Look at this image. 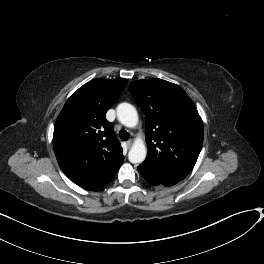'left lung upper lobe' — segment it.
I'll use <instances>...</instances> for the list:
<instances>
[{"mask_svg": "<svg viewBox=\"0 0 264 264\" xmlns=\"http://www.w3.org/2000/svg\"><path fill=\"white\" fill-rule=\"evenodd\" d=\"M129 91L146 119L148 154L141 165L184 179L203 144V122L195 104L180 86L157 78L133 81Z\"/></svg>", "mask_w": 264, "mask_h": 264, "instance_id": "obj_1", "label": "left lung upper lobe"}]
</instances>
